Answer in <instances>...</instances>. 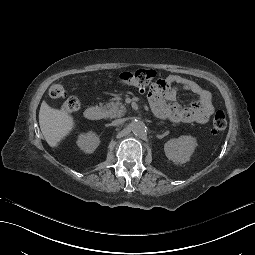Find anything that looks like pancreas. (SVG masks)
<instances>
[{
	"label": "pancreas",
	"instance_id": "cf45deb5",
	"mask_svg": "<svg viewBox=\"0 0 255 255\" xmlns=\"http://www.w3.org/2000/svg\"><path fill=\"white\" fill-rule=\"evenodd\" d=\"M106 116L109 118H120L126 113V108L121 101L106 104Z\"/></svg>",
	"mask_w": 255,
	"mask_h": 255
}]
</instances>
